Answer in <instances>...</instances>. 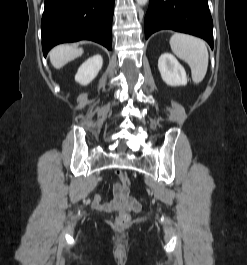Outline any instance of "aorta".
<instances>
[{
    "label": "aorta",
    "instance_id": "1",
    "mask_svg": "<svg viewBox=\"0 0 247 265\" xmlns=\"http://www.w3.org/2000/svg\"><path fill=\"white\" fill-rule=\"evenodd\" d=\"M136 2L141 5V6H144L147 4L148 0H136Z\"/></svg>",
    "mask_w": 247,
    "mask_h": 265
}]
</instances>
